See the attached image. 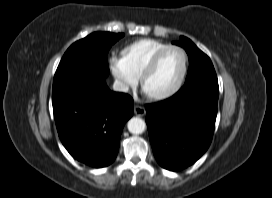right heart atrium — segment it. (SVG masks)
I'll return each mask as SVG.
<instances>
[{"instance_id":"obj_1","label":"right heart atrium","mask_w":272,"mask_h":198,"mask_svg":"<svg viewBox=\"0 0 272 198\" xmlns=\"http://www.w3.org/2000/svg\"><path fill=\"white\" fill-rule=\"evenodd\" d=\"M108 67L123 92H129L137 84L138 77L131 72L121 57L111 56L108 59Z\"/></svg>"}]
</instances>
